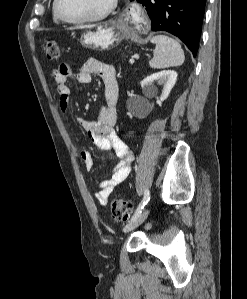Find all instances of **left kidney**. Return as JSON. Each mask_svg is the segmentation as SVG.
Wrapping results in <instances>:
<instances>
[{
    "label": "left kidney",
    "instance_id": "1",
    "mask_svg": "<svg viewBox=\"0 0 247 299\" xmlns=\"http://www.w3.org/2000/svg\"><path fill=\"white\" fill-rule=\"evenodd\" d=\"M177 80V72L174 70H164L158 73H154L142 81L143 87H152L155 82L163 86L161 99L165 100L172 88L174 87Z\"/></svg>",
    "mask_w": 247,
    "mask_h": 299
}]
</instances>
